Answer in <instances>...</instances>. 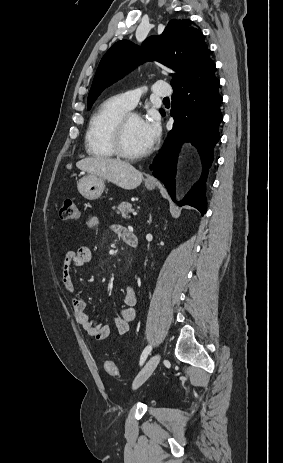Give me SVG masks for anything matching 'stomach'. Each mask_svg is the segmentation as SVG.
I'll use <instances>...</instances> for the list:
<instances>
[{
  "instance_id": "stomach-1",
  "label": "stomach",
  "mask_w": 283,
  "mask_h": 463,
  "mask_svg": "<svg viewBox=\"0 0 283 463\" xmlns=\"http://www.w3.org/2000/svg\"><path fill=\"white\" fill-rule=\"evenodd\" d=\"M145 187L148 190H153L156 187L155 183L145 182ZM79 193L88 200L98 199L105 189L104 179L94 175H88L79 180L77 183Z\"/></svg>"
}]
</instances>
